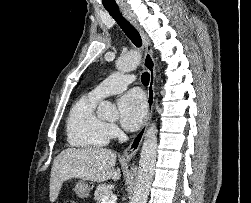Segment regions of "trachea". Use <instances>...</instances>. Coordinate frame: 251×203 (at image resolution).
<instances>
[{
    "label": "trachea",
    "mask_w": 251,
    "mask_h": 203,
    "mask_svg": "<svg viewBox=\"0 0 251 203\" xmlns=\"http://www.w3.org/2000/svg\"><path fill=\"white\" fill-rule=\"evenodd\" d=\"M107 11L116 20L118 25L122 28L132 43L136 47H141L142 40L137 29L121 14L119 9ZM141 81L144 85H148L150 81V74L148 72H144L141 76Z\"/></svg>",
    "instance_id": "3493384b"
}]
</instances>
